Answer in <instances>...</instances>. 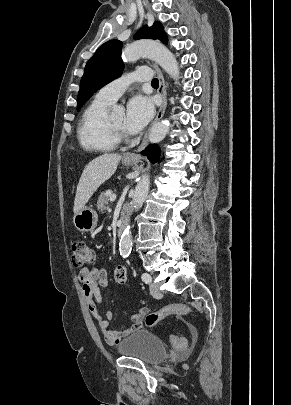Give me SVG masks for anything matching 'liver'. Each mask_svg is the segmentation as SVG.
<instances>
[{
    "mask_svg": "<svg viewBox=\"0 0 291 405\" xmlns=\"http://www.w3.org/2000/svg\"><path fill=\"white\" fill-rule=\"evenodd\" d=\"M121 159L119 154L105 153L87 164L79 179L74 201V214L88 202L94 192L115 173Z\"/></svg>",
    "mask_w": 291,
    "mask_h": 405,
    "instance_id": "obj_1",
    "label": "liver"
}]
</instances>
